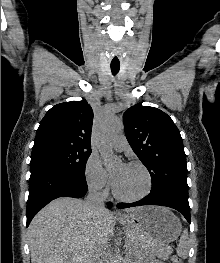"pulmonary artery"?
<instances>
[{"instance_id": "pulmonary-artery-1", "label": "pulmonary artery", "mask_w": 220, "mask_h": 263, "mask_svg": "<svg viewBox=\"0 0 220 263\" xmlns=\"http://www.w3.org/2000/svg\"><path fill=\"white\" fill-rule=\"evenodd\" d=\"M113 146L117 150H124L128 147V141L124 135H118L113 140Z\"/></svg>"}]
</instances>
